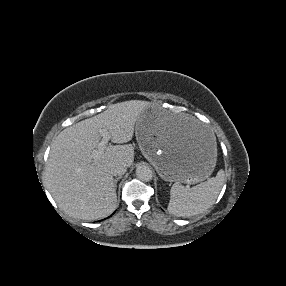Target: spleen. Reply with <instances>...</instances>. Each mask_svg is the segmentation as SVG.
<instances>
[{"label":"spleen","mask_w":286,"mask_h":286,"mask_svg":"<svg viewBox=\"0 0 286 286\" xmlns=\"http://www.w3.org/2000/svg\"><path fill=\"white\" fill-rule=\"evenodd\" d=\"M224 182V171H218L215 177L187 188L174 183L170 190L168 211L175 216L188 217L209 209L218 197Z\"/></svg>","instance_id":"spleen-1"}]
</instances>
